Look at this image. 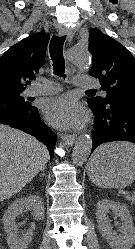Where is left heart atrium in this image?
<instances>
[{
  "mask_svg": "<svg viewBox=\"0 0 135 249\" xmlns=\"http://www.w3.org/2000/svg\"><path fill=\"white\" fill-rule=\"evenodd\" d=\"M46 119L59 128H74L85 121V111L72 95H62L46 101L43 108Z\"/></svg>",
  "mask_w": 135,
  "mask_h": 249,
  "instance_id": "left-heart-atrium-1",
  "label": "left heart atrium"
}]
</instances>
